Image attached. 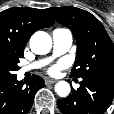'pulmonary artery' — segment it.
<instances>
[{"mask_svg":"<svg viewBox=\"0 0 114 114\" xmlns=\"http://www.w3.org/2000/svg\"><path fill=\"white\" fill-rule=\"evenodd\" d=\"M53 55L51 57L35 61L22 68V72L39 69L49 63L53 58L66 53L73 41L72 32L67 28H56L52 32Z\"/></svg>","mask_w":114,"mask_h":114,"instance_id":"obj_1","label":"pulmonary artery"}]
</instances>
